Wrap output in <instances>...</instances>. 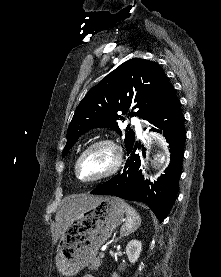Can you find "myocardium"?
Instances as JSON below:
<instances>
[{
  "mask_svg": "<svg viewBox=\"0 0 221 277\" xmlns=\"http://www.w3.org/2000/svg\"><path fill=\"white\" fill-rule=\"evenodd\" d=\"M98 147H106L111 151V153L113 155V160H112L111 166L104 173L100 174L97 177H94L91 179L81 178L79 175L80 162L82 161V159L84 158L85 155H87L90 151H92L93 149L98 148ZM122 161H123V152H122L121 146L112 139L104 138V139H100V140H97V141L91 143L80 153V155L78 156V158L75 162L74 173H75L76 178L81 182L95 183V182L101 181V180L106 179V178L112 176L113 174H115L119 170V168L122 164Z\"/></svg>",
  "mask_w": 221,
  "mask_h": 277,
  "instance_id": "myocardium-1",
  "label": "myocardium"
}]
</instances>
